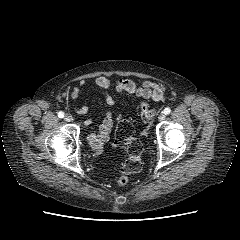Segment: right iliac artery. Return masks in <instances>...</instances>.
<instances>
[{"label": "right iliac artery", "mask_w": 240, "mask_h": 240, "mask_svg": "<svg viewBox=\"0 0 240 240\" xmlns=\"http://www.w3.org/2000/svg\"><path fill=\"white\" fill-rule=\"evenodd\" d=\"M58 117L63 118L64 117V112H62V111L58 112Z\"/></svg>", "instance_id": "1"}]
</instances>
